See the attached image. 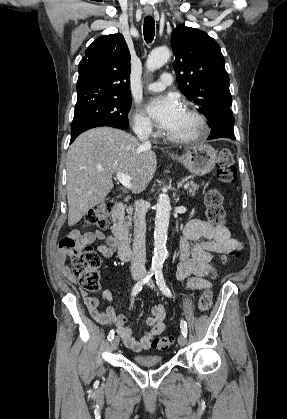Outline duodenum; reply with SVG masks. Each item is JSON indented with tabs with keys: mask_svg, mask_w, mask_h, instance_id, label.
Listing matches in <instances>:
<instances>
[{
	"mask_svg": "<svg viewBox=\"0 0 287 419\" xmlns=\"http://www.w3.org/2000/svg\"><path fill=\"white\" fill-rule=\"evenodd\" d=\"M125 210L126 204L124 202L119 201L115 204L112 213V232L119 241V257L124 261H129L133 253L124 225Z\"/></svg>",
	"mask_w": 287,
	"mask_h": 419,
	"instance_id": "obj_1",
	"label": "duodenum"
}]
</instances>
